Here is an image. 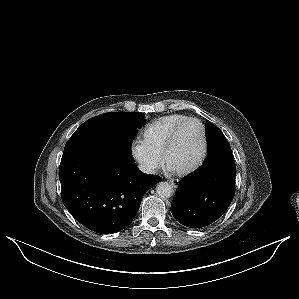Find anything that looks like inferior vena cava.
<instances>
[{
    "label": "inferior vena cava",
    "mask_w": 299,
    "mask_h": 299,
    "mask_svg": "<svg viewBox=\"0 0 299 299\" xmlns=\"http://www.w3.org/2000/svg\"><path fill=\"white\" fill-rule=\"evenodd\" d=\"M138 168H139L140 171H142L146 174H152L153 173V168H151L149 165L140 164V165H138Z\"/></svg>",
    "instance_id": "1"
}]
</instances>
